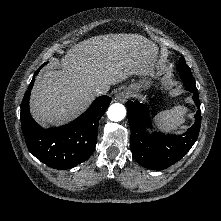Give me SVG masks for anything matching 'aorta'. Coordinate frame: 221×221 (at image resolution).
<instances>
[{"instance_id": "obj_1", "label": "aorta", "mask_w": 221, "mask_h": 221, "mask_svg": "<svg viewBox=\"0 0 221 221\" xmlns=\"http://www.w3.org/2000/svg\"><path fill=\"white\" fill-rule=\"evenodd\" d=\"M107 116L111 121H121L126 116V108L120 103L112 104L107 110Z\"/></svg>"}]
</instances>
